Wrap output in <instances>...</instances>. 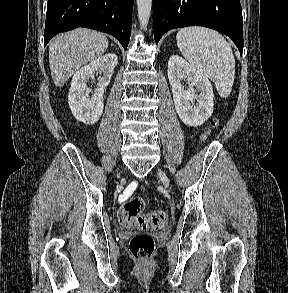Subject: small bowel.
I'll use <instances>...</instances> for the list:
<instances>
[{"label":"small bowel","mask_w":288,"mask_h":293,"mask_svg":"<svg viewBox=\"0 0 288 293\" xmlns=\"http://www.w3.org/2000/svg\"><path fill=\"white\" fill-rule=\"evenodd\" d=\"M125 199H126V195L124 194L121 196L120 200H125Z\"/></svg>","instance_id":"obj_1"}]
</instances>
